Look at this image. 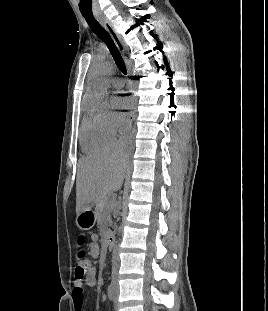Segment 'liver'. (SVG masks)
Masks as SVG:
<instances>
[{"instance_id": "liver-1", "label": "liver", "mask_w": 268, "mask_h": 311, "mask_svg": "<svg viewBox=\"0 0 268 311\" xmlns=\"http://www.w3.org/2000/svg\"><path fill=\"white\" fill-rule=\"evenodd\" d=\"M126 170L124 150L113 145L99 154L82 158L76 179V214L121 188Z\"/></svg>"}]
</instances>
